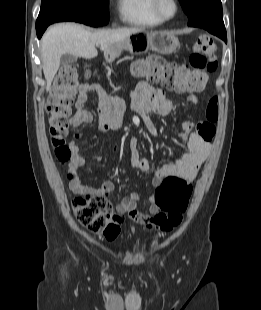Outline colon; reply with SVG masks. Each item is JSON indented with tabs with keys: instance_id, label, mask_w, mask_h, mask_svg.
I'll use <instances>...</instances> for the list:
<instances>
[{
	"instance_id": "obj_1",
	"label": "colon",
	"mask_w": 261,
	"mask_h": 310,
	"mask_svg": "<svg viewBox=\"0 0 261 310\" xmlns=\"http://www.w3.org/2000/svg\"><path fill=\"white\" fill-rule=\"evenodd\" d=\"M216 67V45L211 37L201 35L193 46L190 66L167 62L158 55H150L135 62L132 71L150 82L159 83L168 91L185 93L202 92L207 86L209 74L215 71ZM78 80V67L73 63L64 64L56 76L47 107L51 144L61 163H66L71 157L65 138ZM218 117L217 99L212 98L206 108V120L196 125V131L204 139L211 140L216 132L215 123ZM191 193L192 184L188 180L178 175L165 177L153 196V203L160 212L148 227H155L163 232L178 227L183 220ZM73 211L79 223L89 230L102 234L108 240L118 236L123 217L113 212L112 205L105 196H79L74 199Z\"/></svg>"
}]
</instances>
